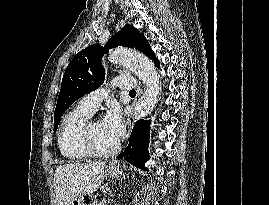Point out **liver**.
<instances>
[{"label":"liver","instance_id":"1","mask_svg":"<svg viewBox=\"0 0 269 205\" xmlns=\"http://www.w3.org/2000/svg\"><path fill=\"white\" fill-rule=\"evenodd\" d=\"M105 162L60 165L54 174L57 205H71L83 194L95 192L104 180Z\"/></svg>","mask_w":269,"mask_h":205}]
</instances>
